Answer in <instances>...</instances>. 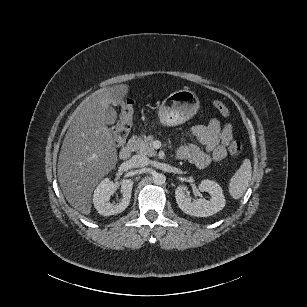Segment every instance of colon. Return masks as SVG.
Returning <instances> with one entry per match:
<instances>
[{
	"mask_svg": "<svg viewBox=\"0 0 307 307\" xmlns=\"http://www.w3.org/2000/svg\"><path fill=\"white\" fill-rule=\"evenodd\" d=\"M133 102L129 99L124 103L120 121L112 129V136L117 145H121L127 138L133 115ZM213 107L224 117L230 115L229 108L220 100L212 99ZM242 151V143L238 139L232 140L229 145L231 155H238Z\"/></svg>",
	"mask_w": 307,
	"mask_h": 307,
	"instance_id": "obj_1",
	"label": "colon"
}]
</instances>
